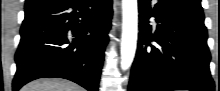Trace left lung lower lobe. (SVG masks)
<instances>
[{
  "label": "left lung lower lobe",
  "mask_w": 220,
  "mask_h": 91,
  "mask_svg": "<svg viewBox=\"0 0 220 91\" xmlns=\"http://www.w3.org/2000/svg\"><path fill=\"white\" fill-rule=\"evenodd\" d=\"M150 2L138 3L140 33L128 91H214L203 10L178 0H158L154 8Z\"/></svg>",
  "instance_id": "left-lung-lower-lobe-1"
}]
</instances>
